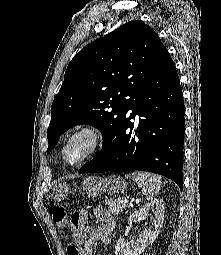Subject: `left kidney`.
<instances>
[{
	"label": "left kidney",
	"mask_w": 221,
	"mask_h": 255,
	"mask_svg": "<svg viewBox=\"0 0 221 255\" xmlns=\"http://www.w3.org/2000/svg\"><path fill=\"white\" fill-rule=\"evenodd\" d=\"M165 204L163 199L158 198L132 213L128 219V224L134 221L146 220L148 216L152 220L151 225L142 230L139 239L128 243L123 238L119 239L115 246V255H140L146 247L152 244L159 235L164 221Z\"/></svg>",
	"instance_id": "obj_1"
}]
</instances>
